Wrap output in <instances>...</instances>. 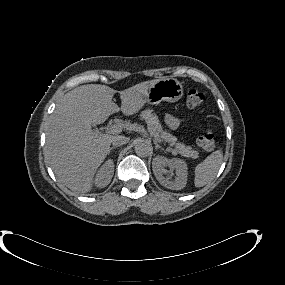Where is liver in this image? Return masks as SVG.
<instances>
[{
	"mask_svg": "<svg viewBox=\"0 0 285 285\" xmlns=\"http://www.w3.org/2000/svg\"><path fill=\"white\" fill-rule=\"evenodd\" d=\"M157 80L120 91L121 107L112 101L116 90L100 84L79 86L57 103L46 132L45 158L60 183L72 191L92 189L94 175L105 160L115 135L92 130L122 111L130 116L147 103L149 88Z\"/></svg>",
	"mask_w": 285,
	"mask_h": 285,
	"instance_id": "1",
	"label": "liver"
}]
</instances>
